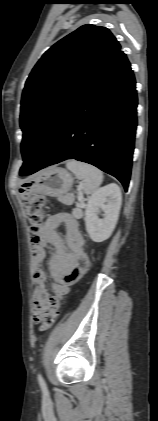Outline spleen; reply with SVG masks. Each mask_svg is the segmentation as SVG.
Segmentation results:
<instances>
[{
    "mask_svg": "<svg viewBox=\"0 0 158 421\" xmlns=\"http://www.w3.org/2000/svg\"><path fill=\"white\" fill-rule=\"evenodd\" d=\"M66 168L74 173L76 178L81 180L79 189L87 195L94 194L102 184L103 174L95 166L77 160H70L66 163Z\"/></svg>",
    "mask_w": 158,
    "mask_h": 421,
    "instance_id": "3e777b00",
    "label": "spleen"
}]
</instances>
